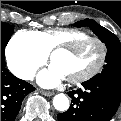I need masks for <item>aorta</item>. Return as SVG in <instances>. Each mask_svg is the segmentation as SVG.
Listing matches in <instances>:
<instances>
[{
	"label": "aorta",
	"mask_w": 121,
	"mask_h": 121,
	"mask_svg": "<svg viewBox=\"0 0 121 121\" xmlns=\"http://www.w3.org/2000/svg\"><path fill=\"white\" fill-rule=\"evenodd\" d=\"M53 106L58 111H66L69 108V99L64 94H57L53 98Z\"/></svg>",
	"instance_id": "obj_1"
}]
</instances>
